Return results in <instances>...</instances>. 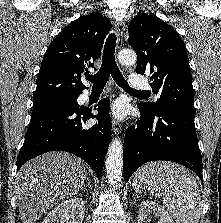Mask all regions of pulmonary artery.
<instances>
[{"label": "pulmonary artery", "mask_w": 221, "mask_h": 223, "mask_svg": "<svg viewBox=\"0 0 221 223\" xmlns=\"http://www.w3.org/2000/svg\"><path fill=\"white\" fill-rule=\"evenodd\" d=\"M130 83L132 87L136 89H147L149 87V82L146 78L144 77H139L136 74H131L130 75ZM159 96L155 95V98L157 99Z\"/></svg>", "instance_id": "e3ab8cb5"}]
</instances>
